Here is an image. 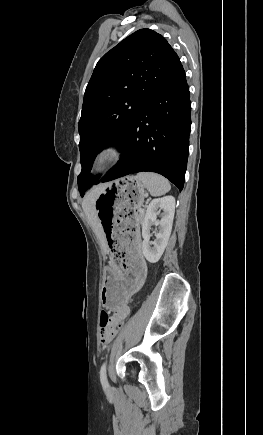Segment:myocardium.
Instances as JSON below:
<instances>
[{
  "mask_svg": "<svg viewBox=\"0 0 263 435\" xmlns=\"http://www.w3.org/2000/svg\"><path fill=\"white\" fill-rule=\"evenodd\" d=\"M123 149L114 142L99 146L92 155L90 167L94 173H104L117 166L123 159Z\"/></svg>",
  "mask_w": 263,
  "mask_h": 435,
  "instance_id": "myocardium-1",
  "label": "myocardium"
}]
</instances>
